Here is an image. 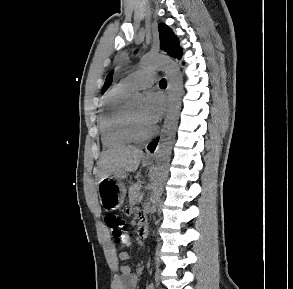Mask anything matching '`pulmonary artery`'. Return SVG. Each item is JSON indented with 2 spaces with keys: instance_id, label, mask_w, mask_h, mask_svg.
Segmentation results:
<instances>
[{
  "instance_id": "e3ab8cb5",
  "label": "pulmonary artery",
  "mask_w": 293,
  "mask_h": 289,
  "mask_svg": "<svg viewBox=\"0 0 293 289\" xmlns=\"http://www.w3.org/2000/svg\"><path fill=\"white\" fill-rule=\"evenodd\" d=\"M156 80V74L153 70H138L122 79L120 84L127 90H134L147 88Z\"/></svg>"
}]
</instances>
